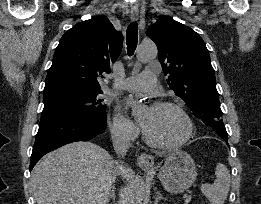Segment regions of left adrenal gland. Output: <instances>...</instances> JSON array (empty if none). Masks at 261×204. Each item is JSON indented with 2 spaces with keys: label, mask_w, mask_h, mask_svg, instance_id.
Listing matches in <instances>:
<instances>
[{
  "label": "left adrenal gland",
  "mask_w": 261,
  "mask_h": 204,
  "mask_svg": "<svg viewBox=\"0 0 261 204\" xmlns=\"http://www.w3.org/2000/svg\"><path fill=\"white\" fill-rule=\"evenodd\" d=\"M161 199H166L164 198L161 193L159 191L156 192V195H155V200H154V203L155 204H158V202L161 200Z\"/></svg>",
  "instance_id": "a2214340"
}]
</instances>
